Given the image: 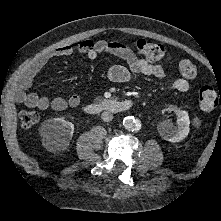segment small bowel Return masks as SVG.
<instances>
[{
  "label": "small bowel",
  "mask_w": 221,
  "mask_h": 221,
  "mask_svg": "<svg viewBox=\"0 0 221 221\" xmlns=\"http://www.w3.org/2000/svg\"><path fill=\"white\" fill-rule=\"evenodd\" d=\"M75 53L82 54L89 59H95L99 55L110 54L125 61L126 65H114L108 71V78L115 83H126L136 74H143L162 79L165 71L161 65L149 62L138 57L126 45L117 41L85 40L78 46L62 45L47 51L32 61L20 74L17 80L16 99L30 108L47 110L49 108L62 111L67 107L75 108L80 104L78 94H72L68 98L57 96L49 99L34 92H27L35 75L52 59L70 57ZM173 89L185 93L190 89V84L183 78L174 79L171 83Z\"/></svg>",
  "instance_id": "c3829d8e"
}]
</instances>
